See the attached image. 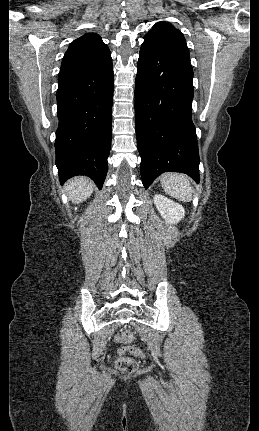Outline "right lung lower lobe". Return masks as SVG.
Returning <instances> with one entry per match:
<instances>
[{
  "label": "right lung lower lobe",
  "instance_id": "right-lung-lower-lobe-1",
  "mask_svg": "<svg viewBox=\"0 0 259 431\" xmlns=\"http://www.w3.org/2000/svg\"><path fill=\"white\" fill-rule=\"evenodd\" d=\"M113 80L112 65L58 80L55 150L61 183L86 175L102 188L111 147Z\"/></svg>",
  "mask_w": 259,
  "mask_h": 431
}]
</instances>
